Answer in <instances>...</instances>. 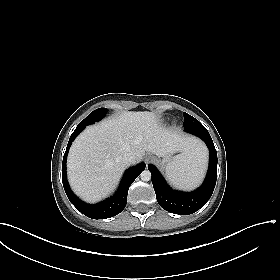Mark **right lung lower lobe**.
<instances>
[{"label": "right lung lower lobe", "instance_id": "1", "mask_svg": "<svg viewBox=\"0 0 280 280\" xmlns=\"http://www.w3.org/2000/svg\"><path fill=\"white\" fill-rule=\"evenodd\" d=\"M84 129V127H76L72 133L62 163V182L64 190L70 202L84 215L92 219H106L119 214L126 206L127 194L130 185L134 180L140 175V173L145 169L146 165L144 162L129 168L120 183L117 192L109 199L100 202L98 204L89 205L82 202L70 189L67 175H66V159L68 155L69 148L75 139V137Z\"/></svg>", "mask_w": 280, "mask_h": 280}]
</instances>
